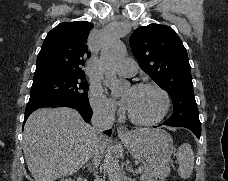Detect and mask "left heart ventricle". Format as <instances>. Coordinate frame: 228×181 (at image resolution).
Returning <instances> with one entry per match:
<instances>
[{"label": "left heart ventricle", "instance_id": "b2bd125f", "mask_svg": "<svg viewBox=\"0 0 228 181\" xmlns=\"http://www.w3.org/2000/svg\"><path fill=\"white\" fill-rule=\"evenodd\" d=\"M118 78L127 79V77L124 76H119ZM122 93L125 94L126 100L128 101L129 111L139 119H151L161 108V96L152 88L133 89L129 83Z\"/></svg>", "mask_w": 228, "mask_h": 181}]
</instances>
